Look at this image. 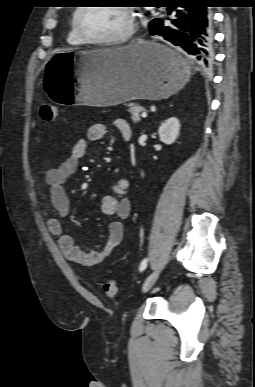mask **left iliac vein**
<instances>
[{
    "instance_id": "1",
    "label": "left iliac vein",
    "mask_w": 255,
    "mask_h": 387,
    "mask_svg": "<svg viewBox=\"0 0 255 387\" xmlns=\"http://www.w3.org/2000/svg\"><path fill=\"white\" fill-rule=\"evenodd\" d=\"M158 276H159L158 270L151 273L143 283L142 292L145 293L149 291L152 288V286L155 284L156 280L158 279Z\"/></svg>"
}]
</instances>
